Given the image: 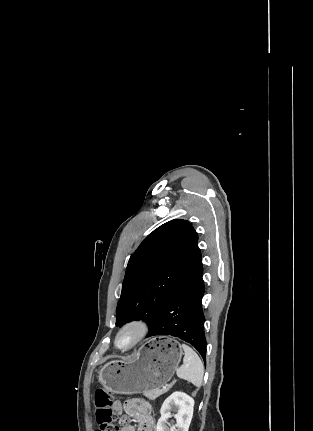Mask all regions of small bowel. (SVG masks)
Listing matches in <instances>:
<instances>
[{"label":"small bowel","instance_id":"1","mask_svg":"<svg viewBox=\"0 0 313 431\" xmlns=\"http://www.w3.org/2000/svg\"><path fill=\"white\" fill-rule=\"evenodd\" d=\"M113 408L120 413L119 431H153L151 407L144 400L132 398L125 402L115 401ZM132 420L136 422L137 429L131 424Z\"/></svg>","mask_w":313,"mask_h":431}]
</instances>
